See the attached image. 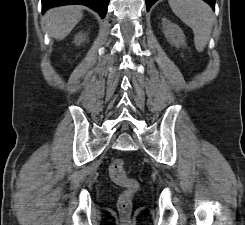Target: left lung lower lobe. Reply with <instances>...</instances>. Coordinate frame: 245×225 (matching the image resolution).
I'll return each mask as SVG.
<instances>
[{
  "label": "left lung lower lobe",
  "instance_id": "1",
  "mask_svg": "<svg viewBox=\"0 0 245 225\" xmlns=\"http://www.w3.org/2000/svg\"><path fill=\"white\" fill-rule=\"evenodd\" d=\"M157 0H146V7L147 11L150 9V7L156 2ZM207 2L213 9L215 6V0H204Z\"/></svg>",
  "mask_w": 245,
  "mask_h": 225
}]
</instances>
